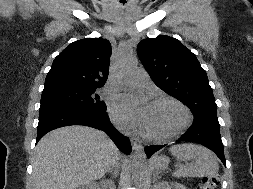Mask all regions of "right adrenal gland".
I'll return each mask as SVG.
<instances>
[{
	"instance_id": "1",
	"label": "right adrenal gland",
	"mask_w": 253,
	"mask_h": 189,
	"mask_svg": "<svg viewBox=\"0 0 253 189\" xmlns=\"http://www.w3.org/2000/svg\"><path fill=\"white\" fill-rule=\"evenodd\" d=\"M107 172L109 173L110 171H107ZM113 176L114 178H117V171H114Z\"/></svg>"
}]
</instances>
